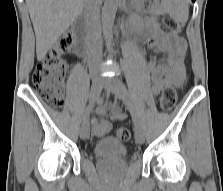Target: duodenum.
Wrapping results in <instances>:
<instances>
[{
  "mask_svg": "<svg viewBox=\"0 0 223 191\" xmlns=\"http://www.w3.org/2000/svg\"><path fill=\"white\" fill-rule=\"evenodd\" d=\"M72 31L79 40L77 45H78V51L81 52L84 48L83 41L87 36V30L86 28H84L80 20H75L73 23Z\"/></svg>",
  "mask_w": 223,
  "mask_h": 191,
  "instance_id": "duodenum-1",
  "label": "duodenum"
}]
</instances>
